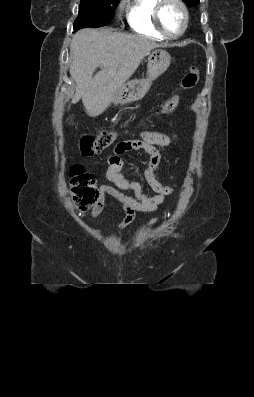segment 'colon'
<instances>
[{
  "instance_id": "1",
  "label": "colon",
  "mask_w": 254,
  "mask_h": 397,
  "mask_svg": "<svg viewBox=\"0 0 254 397\" xmlns=\"http://www.w3.org/2000/svg\"><path fill=\"white\" fill-rule=\"evenodd\" d=\"M199 80V69L191 66L187 73L180 81L182 91L192 89ZM180 95L175 94L165 100L161 105V112L169 114L178 106ZM117 139V134L111 130H103L96 136L84 135L79 139V148L83 156H93L101 153L103 150L112 145ZM70 187L73 201L83 209L95 203L98 199V191L95 187L93 175L86 172L80 165H75L70 170Z\"/></svg>"
}]
</instances>
